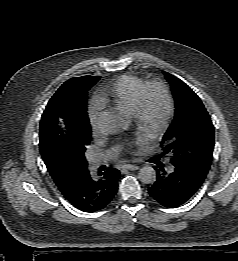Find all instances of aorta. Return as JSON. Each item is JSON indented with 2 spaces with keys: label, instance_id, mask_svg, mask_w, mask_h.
Instances as JSON below:
<instances>
[{
  "label": "aorta",
  "instance_id": "obj_1",
  "mask_svg": "<svg viewBox=\"0 0 238 261\" xmlns=\"http://www.w3.org/2000/svg\"><path fill=\"white\" fill-rule=\"evenodd\" d=\"M128 120L114 112H105L99 120V130L104 135L115 134L128 128ZM138 178L142 183L150 184L156 181V171L153 167H142L138 173Z\"/></svg>",
  "mask_w": 238,
  "mask_h": 261
}]
</instances>
